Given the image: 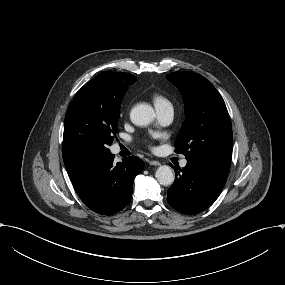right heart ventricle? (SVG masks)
<instances>
[{"instance_id":"e07e8e85","label":"right heart ventricle","mask_w":285,"mask_h":285,"mask_svg":"<svg viewBox=\"0 0 285 285\" xmlns=\"http://www.w3.org/2000/svg\"><path fill=\"white\" fill-rule=\"evenodd\" d=\"M150 97L157 108L170 103L167 96L159 90L151 91Z\"/></svg>"}]
</instances>
